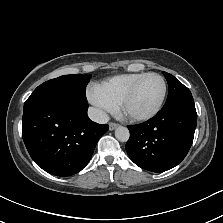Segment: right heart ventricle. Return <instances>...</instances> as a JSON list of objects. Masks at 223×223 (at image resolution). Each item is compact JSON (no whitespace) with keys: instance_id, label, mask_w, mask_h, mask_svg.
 I'll list each match as a JSON object with an SVG mask.
<instances>
[{"instance_id":"obj_1","label":"right heart ventricle","mask_w":223,"mask_h":223,"mask_svg":"<svg viewBox=\"0 0 223 223\" xmlns=\"http://www.w3.org/2000/svg\"><path fill=\"white\" fill-rule=\"evenodd\" d=\"M145 72L123 73L96 84L103 94L116 106L125 93L141 78Z\"/></svg>"}]
</instances>
